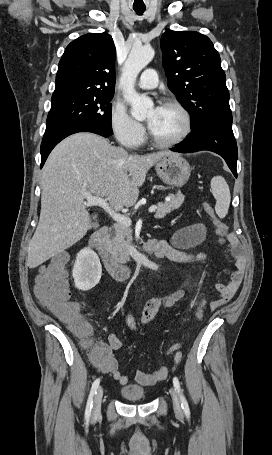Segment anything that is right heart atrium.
I'll list each match as a JSON object with an SVG mask.
<instances>
[{
	"label": "right heart atrium",
	"instance_id": "right-heart-atrium-1",
	"mask_svg": "<svg viewBox=\"0 0 272 455\" xmlns=\"http://www.w3.org/2000/svg\"><path fill=\"white\" fill-rule=\"evenodd\" d=\"M110 127L117 141L128 148L140 146L145 139V129L130 116L126 107L114 102L110 109Z\"/></svg>",
	"mask_w": 272,
	"mask_h": 455
}]
</instances>
